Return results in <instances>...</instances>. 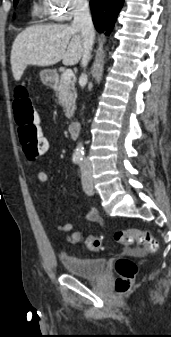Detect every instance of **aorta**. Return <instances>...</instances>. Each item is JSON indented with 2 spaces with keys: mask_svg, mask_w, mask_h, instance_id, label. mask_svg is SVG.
I'll use <instances>...</instances> for the list:
<instances>
[{
  "mask_svg": "<svg viewBox=\"0 0 171 337\" xmlns=\"http://www.w3.org/2000/svg\"><path fill=\"white\" fill-rule=\"evenodd\" d=\"M74 154L76 156H80V157L84 155V147H83V143L82 142H79L77 144V147H76V149L74 151Z\"/></svg>",
  "mask_w": 171,
  "mask_h": 337,
  "instance_id": "obj_1",
  "label": "aorta"
}]
</instances>
